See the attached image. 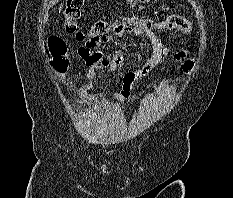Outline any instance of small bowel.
<instances>
[{
    "mask_svg": "<svg viewBox=\"0 0 233 198\" xmlns=\"http://www.w3.org/2000/svg\"><path fill=\"white\" fill-rule=\"evenodd\" d=\"M112 37L122 38L130 35L134 38L145 36L149 39L152 46V55L145 64L138 68L132 69L128 67L127 59L123 53L116 51L112 54H105L104 49L111 40V36H106L98 40L93 47L83 46L79 49L80 56L89 66L88 77L95 76L97 71L101 72H119L123 78V87L119 92L109 95L110 98L124 102L135 98L134 84L147 76L156 67L161 65L170 50L163 44L158 35L145 31L142 25L126 26L120 21H114L110 24ZM183 53L177 55L182 57ZM178 78H174L172 82H176Z\"/></svg>",
    "mask_w": 233,
    "mask_h": 198,
    "instance_id": "small-bowel-1",
    "label": "small bowel"
}]
</instances>
